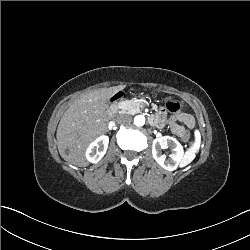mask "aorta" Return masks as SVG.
<instances>
[{
  "label": "aorta",
  "instance_id": "obj_1",
  "mask_svg": "<svg viewBox=\"0 0 250 250\" xmlns=\"http://www.w3.org/2000/svg\"><path fill=\"white\" fill-rule=\"evenodd\" d=\"M134 124L141 127L145 124V117L143 115H137L134 117Z\"/></svg>",
  "mask_w": 250,
  "mask_h": 250
}]
</instances>
